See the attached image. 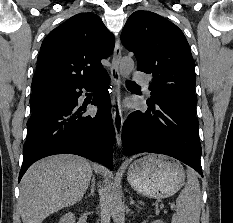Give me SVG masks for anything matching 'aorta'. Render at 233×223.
<instances>
[{
	"mask_svg": "<svg viewBox=\"0 0 233 223\" xmlns=\"http://www.w3.org/2000/svg\"><path fill=\"white\" fill-rule=\"evenodd\" d=\"M134 70V62L131 58H123L120 66H119V74L122 80H126L128 78L130 72ZM121 209V195H118L116 191H113L111 197V213L113 217L119 213Z\"/></svg>",
	"mask_w": 233,
	"mask_h": 223,
	"instance_id": "aorta-1",
	"label": "aorta"
}]
</instances>
